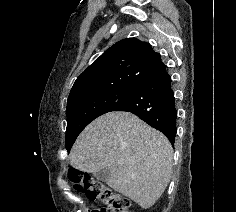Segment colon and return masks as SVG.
<instances>
[{"label": "colon", "mask_w": 236, "mask_h": 212, "mask_svg": "<svg viewBox=\"0 0 236 212\" xmlns=\"http://www.w3.org/2000/svg\"><path fill=\"white\" fill-rule=\"evenodd\" d=\"M68 177L78 192L84 193L91 200L104 204V208L92 212H130L128 199L116 194L90 174L70 169Z\"/></svg>", "instance_id": "5ec220e1"}]
</instances>
